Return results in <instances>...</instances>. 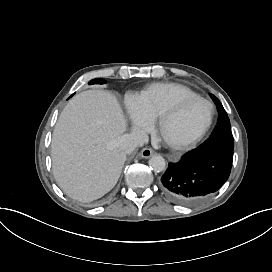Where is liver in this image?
Listing matches in <instances>:
<instances>
[{
  "label": "liver",
  "instance_id": "6515ba94",
  "mask_svg": "<svg viewBox=\"0 0 272 272\" xmlns=\"http://www.w3.org/2000/svg\"><path fill=\"white\" fill-rule=\"evenodd\" d=\"M127 122L117 98L105 90H87L64 107L51 143L52 171L72 199L91 202L116 185L126 154L117 140Z\"/></svg>",
  "mask_w": 272,
  "mask_h": 272
}]
</instances>
